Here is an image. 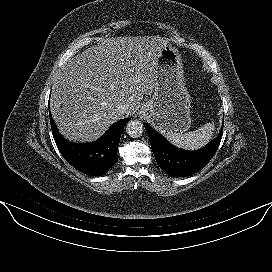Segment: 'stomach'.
<instances>
[{"label":"stomach","mask_w":272,"mask_h":272,"mask_svg":"<svg viewBox=\"0 0 272 272\" xmlns=\"http://www.w3.org/2000/svg\"><path fill=\"white\" fill-rule=\"evenodd\" d=\"M190 108L181 55L168 43L158 59L154 94L141 106L140 112L155 120L162 133L182 134L191 125Z\"/></svg>","instance_id":"stomach-1"}]
</instances>
